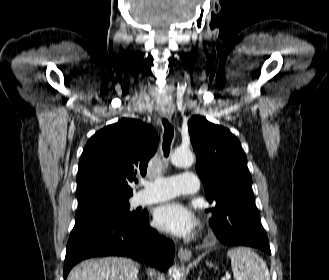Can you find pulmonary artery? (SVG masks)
Instances as JSON below:
<instances>
[{
	"instance_id": "pulmonary-artery-1",
	"label": "pulmonary artery",
	"mask_w": 329,
	"mask_h": 280,
	"mask_svg": "<svg viewBox=\"0 0 329 280\" xmlns=\"http://www.w3.org/2000/svg\"><path fill=\"white\" fill-rule=\"evenodd\" d=\"M199 180L192 172L159 177L145 184V189L137 194V203L147 205L169 200L177 195H192L198 190Z\"/></svg>"
}]
</instances>
